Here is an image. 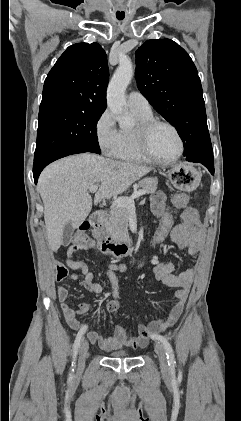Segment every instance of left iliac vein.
<instances>
[{
  "label": "left iliac vein",
  "mask_w": 241,
  "mask_h": 421,
  "mask_svg": "<svg viewBox=\"0 0 241 421\" xmlns=\"http://www.w3.org/2000/svg\"><path fill=\"white\" fill-rule=\"evenodd\" d=\"M155 352L158 356L159 364H160V368L162 372L164 373L168 372V365H167V358L165 355V350H164L163 345L160 344L159 342L155 344Z\"/></svg>",
  "instance_id": "left-iliac-vein-1"
}]
</instances>
